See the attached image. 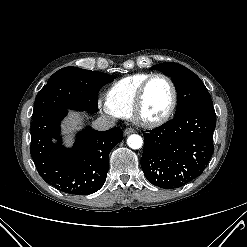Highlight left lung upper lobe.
I'll return each mask as SVG.
<instances>
[{
	"instance_id": "left-lung-upper-lobe-1",
	"label": "left lung upper lobe",
	"mask_w": 247,
	"mask_h": 247,
	"mask_svg": "<svg viewBox=\"0 0 247 247\" xmlns=\"http://www.w3.org/2000/svg\"><path fill=\"white\" fill-rule=\"evenodd\" d=\"M152 68L164 71L174 82L178 98L175 116L193 108L213 106L207 88L188 68L172 62L157 64Z\"/></svg>"
}]
</instances>
